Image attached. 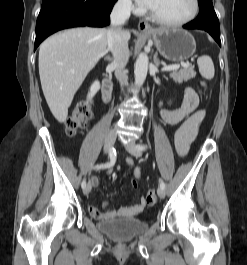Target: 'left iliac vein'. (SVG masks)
I'll list each match as a JSON object with an SVG mask.
<instances>
[{
    "label": "left iliac vein",
    "mask_w": 247,
    "mask_h": 265,
    "mask_svg": "<svg viewBox=\"0 0 247 265\" xmlns=\"http://www.w3.org/2000/svg\"><path fill=\"white\" fill-rule=\"evenodd\" d=\"M126 150L133 156L135 157H140L142 155L141 150H139L135 144V142H130L128 144L125 145ZM158 196L160 198H164L165 197V190L163 188H158L157 190Z\"/></svg>",
    "instance_id": "4c4485c4"
}]
</instances>
